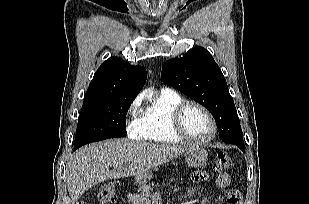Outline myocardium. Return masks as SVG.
I'll return each instance as SVG.
<instances>
[{
  "label": "myocardium",
  "mask_w": 309,
  "mask_h": 204,
  "mask_svg": "<svg viewBox=\"0 0 309 204\" xmlns=\"http://www.w3.org/2000/svg\"><path fill=\"white\" fill-rule=\"evenodd\" d=\"M191 106L199 108L206 115L208 120L210 121L211 134L206 139L200 140V139H196V138L192 137L186 131V129L183 125V115H184L185 111ZM170 121H171L172 130L174 131V133L177 136H179L182 140H185V141L192 143V144L207 145L211 141H213V139L215 138L216 133H217V124H216V121L214 119V116L212 115V113L209 111V109L207 107H205L203 104H201L197 101H192V100L186 101V100H184L183 102H181L173 110V112L171 114V120Z\"/></svg>",
  "instance_id": "f54148a6"
}]
</instances>
